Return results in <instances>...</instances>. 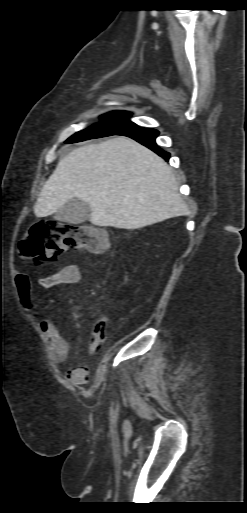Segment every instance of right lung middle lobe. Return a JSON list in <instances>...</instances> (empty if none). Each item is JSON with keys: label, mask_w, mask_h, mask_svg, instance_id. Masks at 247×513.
I'll return each instance as SVG.
<instances>
[{"label": "right lung middle lobe", "mask_w": 247, "mask_h": 513, "mask_svg": "<svg viewBox=\"0 0 247 513\" xmlns=\"http://www.w3.org/2000/svg\"><path fill=\"white\" fill-rule=\"evenodd\" d=\"M131 114L122 111H114L105 115H102L101 122L95 124L92 127L77 132L71 136L66 143L79 142L89 140L93 138L106 137L110 135H116L125 129L132 126H136L135 123L129 120Z\"/></svg>", "instance_id": "right-lung-middle-lobe-1"}]
</instances>
